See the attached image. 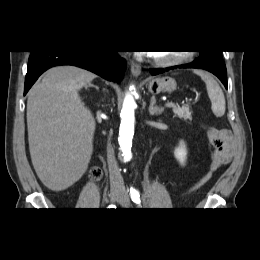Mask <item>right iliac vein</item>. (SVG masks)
Masks as SVG:
<instances>
[{"mask_svg":"<svg viewBox=\"0 0 260 260\" xmlns=\"http://www.w3.org/2000/svg\"><path fill=\"white\" fill-rule=\"evenodd\" d=\"M120 196H121V193H120V192H118V191H112V192L110 193V195H109L110 201H111V202H115L116 200L119 199Z\"/></svg>","mask_w":260,"mask_h":260,"instance_id":"1","label":"right iliac vein"}]
</instances>
